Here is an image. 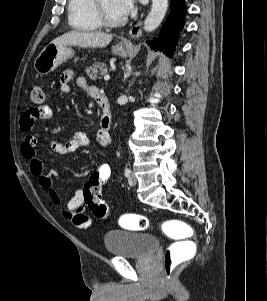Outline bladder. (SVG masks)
Returning <instances> with one entry per match:
<instances>
[{"label":"bladder","mask_w":267,"mask_h":301,"mask_svg":"<svg viewBox=\"0 0 267 301\" xmlns=\"http://www.w3.org/2000/svg\"><path fill=\"white\" fill-rule=\"evenodd\" d=\"M103 241L109 254L123 258L149 257L160 244L156 235L121 229L107 231Z\"/></svg>","instance_id":"31cf9c89"}]
</instances>
